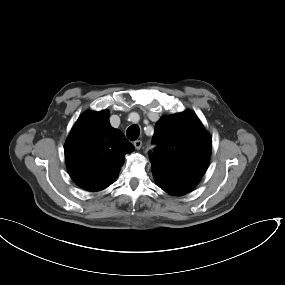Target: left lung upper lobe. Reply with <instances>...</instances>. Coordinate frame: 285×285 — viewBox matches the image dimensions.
Returning <instances> with one entry per match:
<instances>
[{
	"label": "left lung upper lobe",
	"mask_w": 285,
	"mask_h": 285,
	"mask_svg": "<svg viewBox=\"0 0 285 285\" xmlns=\"http://www.w3.org/2000/svg\"><path fill=\"white\" fill-rule=\"evenodd\" d=\"M151 169L174 180L198 184L211 155V137L192 111L162 117L155 126Z\"/></svg>",
	"instance_id": "5c2ea615"
}]
</instances>
